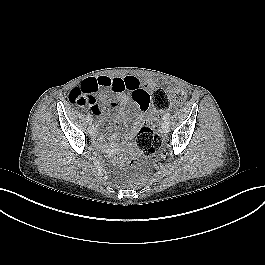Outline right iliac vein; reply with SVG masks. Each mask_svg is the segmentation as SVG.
I'll return each mask as SVG.
<instances>
[{
    "label": "right iliac vein",
    "instance_id": "right-iliac-vein-1",
    "mask_svg": "<svg viewBox=\"0 0 265 265\" xmlns=\"http://www.w3.org/2000/svg\"><path fill=\"white\" fill-rule=\"evenodd\" d=\"M95 132H96V130H95L94 126L93 125H89V127H88V133L90 135H94Z\"/></svg>",
    "mask_w": 265,
    "mask_h": 265
}]
</instances>
